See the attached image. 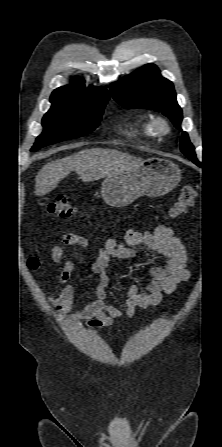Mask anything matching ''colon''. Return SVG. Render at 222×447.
Here are the masks:
<instances>
[{"label": "colon", "mask_w": 222, "mask_h": 447, "mask_svg": "<svg viewBox=\"0 0 222 447\" xmlns=\"http://www.w3.org/2000/svg\"><path fill=\"white\" fill-rule=\"evenodd\" d=\"M195 197V188L192 185L184 186L178 196L177 201L170 209V218L176 219L184 214L192 205ZM47 212L54 217L70 218L75 215L76 210L70 197L61 196L48 204ZM28 265L31 269H36L39 266V261L36 258H30L28 260Z\"/></svg>", "instance_id": "1"}]
</instances>
